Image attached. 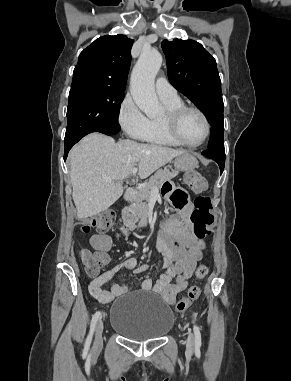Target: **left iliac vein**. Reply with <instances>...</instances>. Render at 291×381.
<instances>
[{"instance_id":"left-iliac-vein-1","label":"left iliac vein","mask_w":291,"mask_h":381,"mask_svg":"<svg viewBox=\"0 0 291 381\" xmlns=\"http://www.w3.org/2000/svg\"><path fill=\"white\" fill-rule=\"evenodd\" d=\"M186 346H187V348L189 350H193L194 349V336L191 333L188 336Z\"/></svg>"}]
</instances>
